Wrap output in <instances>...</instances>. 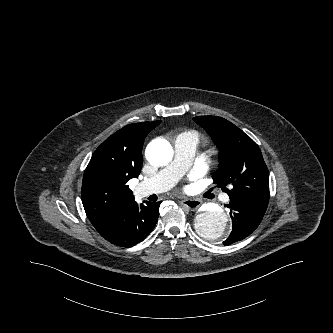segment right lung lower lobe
I'll return each mask as SVG.
<instances>
[{
	"mask_svg": "<svg viewBox=\"0 0 333 333\" xmlns=\"http://www.w3.org/2000/svg\"><path fill=\"white\" fill-rule=\"evenodd\" d=\"M160 204L161 201L146 202V205L131 201L95 228L112 244L132 247L144 240L155 227Z\"/></svg>",
	"mask_w": 333,
	"mask_h": 333,
	"instance_id": "right-lung-lower-lobe-1",
	"label": "right lung lower lobe"
}]
</instances>
